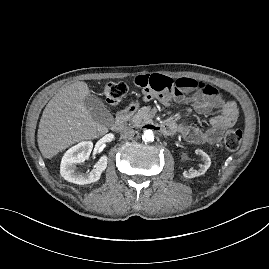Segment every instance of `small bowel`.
Instances as JSON below:
<instances>
[{"label": "small bowel", "instance_id": "1", "mask_svg": "<svg viewBox=\"0 0 269 269\" xmlns=\"http://www.w3.org/2000/svg\"><path fill=\"white\" fill-rule=\"evenodd\" d=\"M136 84L142 82L145 99H157L171 104L175 99L180 103H188L199 114H207L213 109H220V114L210 120L206 129L178 125L174 120L172 132L179 131L183 138L193 144H215L219 142L225 129L233 126L238 118V107L232 101H226L214 87L192 78H168L165 75H142L135 79ZM139 86V85H138ZM197 91L190 96L191 92ZM190 96V97H189Z\"/></svg>", "mask_w": 269, "mask_h": 269}]
</instances>
